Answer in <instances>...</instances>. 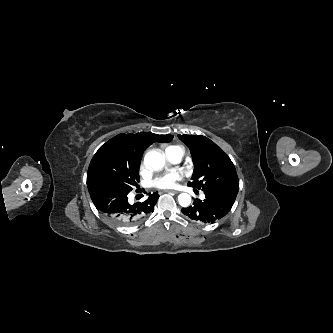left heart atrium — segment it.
<instances>
[{
    "label": "left heart atrium",
    "mask_w": 333,
    "mask_h": 333,
    "mask_svg": "<svg viewBox=\"0 0 333 333\" xmlns=\"http://www.w3.org/2000/svg\"><path fill=\"white\" fill-rule=\"evenodd\" d=\"M180 178L178 173L171 172L154 179L152 185L157 189H170L177 185Z\"/></svg>",
    "instance_id": "obj_1"
}]
</instances>
